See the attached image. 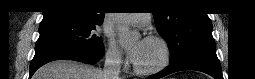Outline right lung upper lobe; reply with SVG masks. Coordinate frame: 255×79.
<instances>
[{"mask_svg":"<svg viewBox=\"0 0 255 79\" xmlns=\"http://www.w3.org/2000/svg\"><path fill=\"white\" fill-rule=\"evenodd\" d=\"M98 0H50L43 12V20L72 19L102 23L104 13L99 10Z\"/></svg>","mask_w":255,"mask_h":79,"instance_id":"1","label":"right lung upper lobe"}]
</instances>
